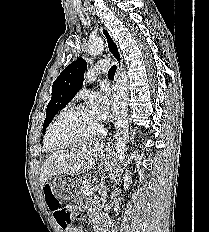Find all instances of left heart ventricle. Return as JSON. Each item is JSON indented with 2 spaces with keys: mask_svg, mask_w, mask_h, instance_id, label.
I'll use <instances>...</instances> for the list:
<instances>
[{
  "mask_svg": "<svg viewBox=\"0 0 209 232\" xmlns=\"http://www.w3.org/2000/svg\"><path fill=\"white\" fill-rule=\"evenodd\" d=\"M100 121L89 110L71 113L63 117L54 127L52 138L57 143L66 142L75 138L93 133Z\"/></svg>",
  "mask_w": 209,
  "mask_h": 232,
  "instance_id": "left-heart-ventricle-1",
  "label": "left heart ventricle"
}]
</instances>
